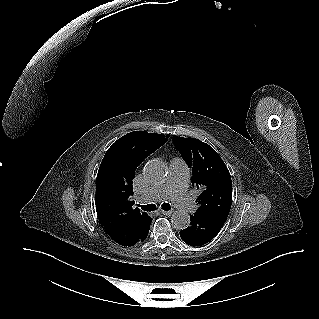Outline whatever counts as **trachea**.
I'll return each instance as SVG.
<instances>
[{"label":"trachea","mask_w":319,"mask_h":319,"mask_svg":"<svg viewBox=\"0 0 319 319\" xmlns=\"http://www.w3.org/2000/svg\"><path fill=\"white\" fill-rule=\"evenodd\" d=\"M138 206H139L142 210H144V211H149V212H150V211H154V210L157 209V207H156L155 204H148V205H140V204H138ZM161 208H162L163 210H165V211H168V210L171 209V206H170L169 203H163V204L161 205Z\"/></svg>","instance_id":"1"}]
</instances>
